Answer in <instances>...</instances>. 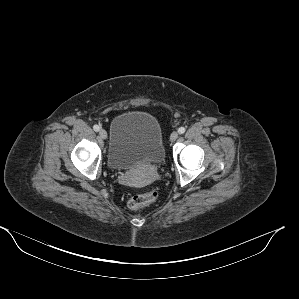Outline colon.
<instances>
[{"label": "colon", "mask_w": 299, "mask_h": 299, "mask_svg": "<svg viewBox=\"0 0 299 299\" xmlns=\"http://www.w3.org/2000/svg\"><path fill=\"white\" fill-rule=\"evenodd\" d=\"M158 193L156 190H150L144 194H138L128 200L127 206L131 210L140 209L156 200Z\"/></svg>", "instance_id": "1"}]
</instances>
